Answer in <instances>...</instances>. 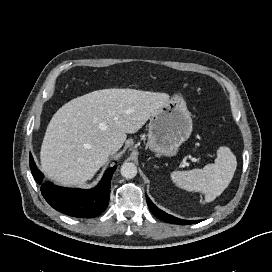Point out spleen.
Instances as JSON below:
<instances>
[{
    "mask_svg": "<svg viewBox=\"0 0 272 272\" xmlns=\"http://www.w3.org/2000/svg\"><path fill=\"white\" fill-rule=\"evenodd\" d=\"M237 167L236 157L229 147L221 146L217 150L215 163L203 169L173 171L172 181L187 191L205 194V201L211 202L228 187Z\"/></svg>",
    "mask_w": 272,
    "mask_h": 272,
    "instance_id": "spleen-1",
    "label": "spleen"
}]
</instances>
